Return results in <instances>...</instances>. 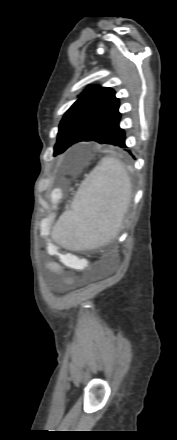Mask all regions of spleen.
Wrapping results in <instances>:
<instances>
[{"label": "spleen", "instance_id": "obj_1", "mask_svg": "<svg viewBox=\"0 0 177 440\" xmlns=\"http://www.w3.org/2000/svg\"><path fill=\"white\" fill-rule=\"evenodd\" d=\"M130 196L125 166L116 158L104 157L81 184L71 210L60 216L52 238L71 250L103 245L116 236Z\"/></svg>", "mask_w": 177, "mask_h": 440}]
</instances>
